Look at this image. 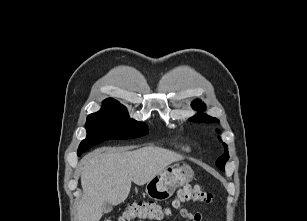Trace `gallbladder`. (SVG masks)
I'll return each mask as SVG.
<instances>
[{"label":"gallbladder","instance_id":"obj_1","mask_svg":"<svg viewBox=\"0 0 307 221\" xmlns=\"http://www.w3.org/2000/svg\"><path fill=\"white\" fill-rule=\"evenodd\" d=\"M112 209H113V206L110 203L105 202L103 204V213H110Z\"/></svg>","mask_w":307,"mask_h":221}]
</instances>
